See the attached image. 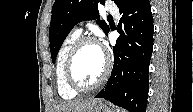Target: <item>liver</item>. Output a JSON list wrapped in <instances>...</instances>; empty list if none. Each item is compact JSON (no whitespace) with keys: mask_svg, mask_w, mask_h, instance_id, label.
I'll return each instance as SVG.
<instances>
[{"mask_svg":"<svg viewBox=\"0 0 193 112\" xmlns=\"http://www.w3.org/2000/svg\"><path fill=\"white\" fill-rule=\"evenodd\" d=\"M98 99L63 101L55 106V112H88Z\"/></svg>","mask_w":193,"mask_h":112,"instance_id":"1","label":"liver"}]
</instances>
